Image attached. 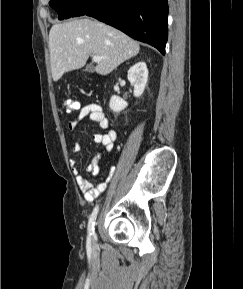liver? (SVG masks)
I'll return each mask as SVG.
<instances>
[{
	"mask_svg": "<svg viewBox=\"0 0 243 289\" xmlns=\"http://www.w3.org/2000/svg\"><path fill=\"white\" fill-rule=\"evenodd\" d=\"M51 72L58 81L66 72L79 69L89 56L106 57L95 67L107 75L139 53V43L123 32L89 18L55 24L49 33Z\"/></svg>",
	"mask_w": 243,
	"mask_h": 289,
	"instance_id": "liver-1",
	"label": "liver"
}]
</instances>
